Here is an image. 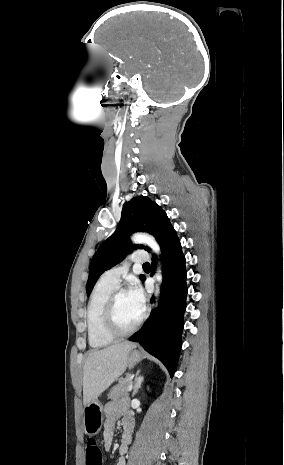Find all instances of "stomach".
I'll return each instance as SVG.
<instances>
[{"instance_id":"stomach-1","label":"stomach","mask_w":284,"mask_h":465,"mask_svg":"<svg viewBox=\"0 0 284 465\" xmlns=\"http://www.w3.org/2000/svg\"><path fill=\"white\" fill-rule=\"evenodd\" d=\"M140 361H142L141 353H139V351H130L127 357L129 369L135 367ZM103 421V407L100 401H92V403L85 405L83 409V429L86 435H89V437L97 435L102 429Z\"/></svg>"}]
</instances>
